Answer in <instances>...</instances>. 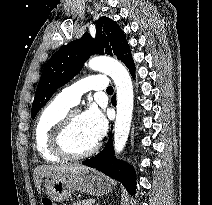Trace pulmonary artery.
<instances>
[{
	"label": "pulmonary artery",
	"mask_w": 212,
	"mask_h": 205,
	"mask_svg": "<svg viewBox=\"0 0 212 205\" xmlns=\"http://www.w3.org/2000/svg\"><path fill=\"white\" fill-rule=\"evenodd\" d=\"M107 87V77L103 74H95L62 89L57 97L69 106H73L78 103L84 93L90 90H106Z\"/></svg>",
	"instance_id": "pulmonary-artery-1"
}]
</instances>
